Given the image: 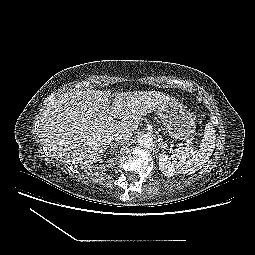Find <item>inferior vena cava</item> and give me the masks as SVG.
<instances>
[{
	"mask_svg": "<svg viewBox=\"0 0 255 255\" xmlns=\"http://www.w3.org/2000/svg\"><path fill=\"white\" fill-rule=\"evenodd\" d=\"M132 137V131L130 130H120L116 132L114 138L119 143H125L131 140Z\"/></svg>",
	"mask_w": 255,
	"mask_h": 255,
	"instance_id": "inferior-vena-cava-1",
	"label": "inferior vena cava"
}]
</instances>
